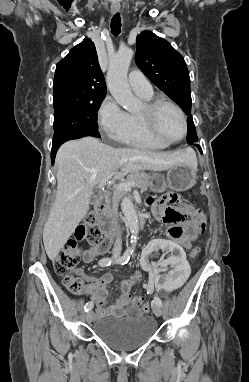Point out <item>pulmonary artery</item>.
<instances>
[{
	"mask_svg": "<svg viewBox=\"0 0 249 382\" xmlns=\"http://www.w3.org/2000/svg\"><path fill=\"white\" fill-rule=\"evenodd\" d=\"M128 82L131 89L141 95H152V87L148 79L137 70H133L128 75Z\"/></svg>",
	"mask_w": 249,
	"mask_h": 382,
	"instance_id": "pulmonary-artery-1",
	"label": "pulmonary artery"
}]
</instances>
